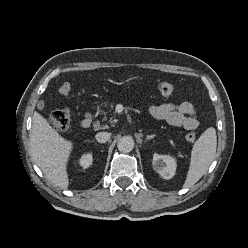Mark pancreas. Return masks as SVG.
Masks as SVG:
<instances>
[{
	"instance_id": "1",
	"label": "pancreas",
	"mask_w": 248,
	"mask_h": 248,
	"mask_svg": "<svg viewBox=\"0 0 248 248\" xmlns=\"http://www.w3.org/2000/svg\"><path fill=\"white\" fill-rule=\"evenodd\" d=\"M106 106V105H105ZM107 119V117L105 116L104 117V120H106ZM94 128H95V130H99V129H102V128H106V126H104V127H101L100 126V123L99 122H96L95 124H94Z\"/></svg>"
}]
</instances>
